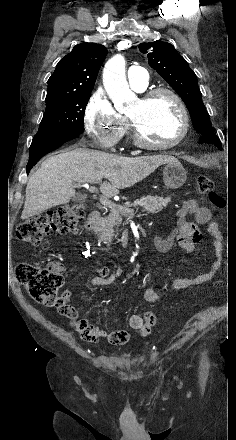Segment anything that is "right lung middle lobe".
Segmentation results:
<instances>
[{"label": "right lung middle lobe", "mask_w": 236, "mask_h": 440, "mask_svg": "<svg viewBox=\"0 0 236 440\" xmlns=\"http://www.w3.org/2000/svg\"><path fill=\"white\" fill-rule=\"evenodd\" d=\"M90 93L70 99L47 102L44 116L35 136L81 134L84 131V112Z\"/></svg>", "instance_id": "right-lung-middle-lobe-1"}]
</instances>
